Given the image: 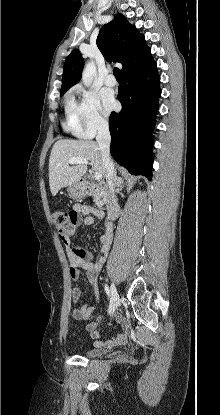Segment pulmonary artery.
<instances>
[{
    "instance_id": "pulmonary-artery-1",
    "label": "pulmonary artery",
    "mask_w": 220,
    "mask_h": 415,
    "mask_svg": "<svg viewBox=\"0 0 220 415\" xmlns=\"http://www.w3.org/2000/svg\"><path fill=\"white\" fill-rule=\"evenodd\" d=\"M105 84L109 87H114L117 84V80L113 74H108L104 80Z\"/></svg>"
}]
</instances>
